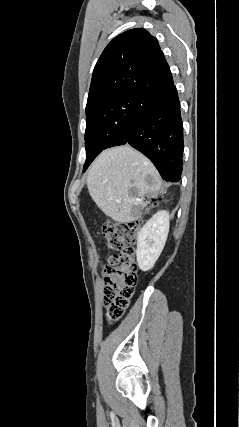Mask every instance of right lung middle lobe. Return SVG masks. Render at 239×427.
<instances>
[{
	"mask_svg": "<svg viewBox=\"0 0 239 427\" xmlns=\"http://www.w3.org/2000/svg\"><path fill=\"white\" fill-rule=\"evenodd\" d=\"M140 101L141 96L126 95L100 100L86 107L83 172L104 149L120 145L127 138L131 119Z\"/></svg>",
	"mask_w": 239,
	"mask_h": 427,
	"instance_id": "1",
	"label": "right lung middle lobe"
}]
</instances>
